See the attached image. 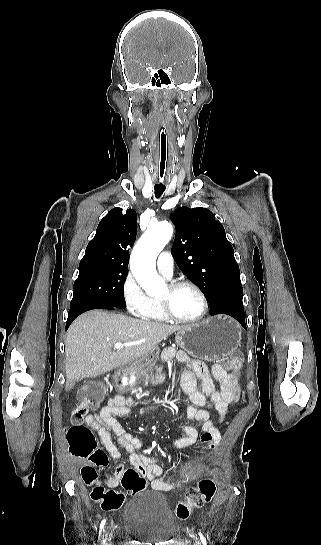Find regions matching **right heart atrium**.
Instances as JSON below:
<instances>
[{"mask_svg":"<svg viewBox=\"0 0 321 545\" xmlns=\"http://www.w3.org/2000/svg\"><path fill=\"white\" fill-rule=\"evenodd\" d=\"M120 292L124 305L131 315L141 319L148 315L153 302L148 299L132 272H128L124 277Z\"/></svg>","mask_w":321,"mask_h":545,"instance_id":"1","label":"right heart atrium"}]
</instances>
